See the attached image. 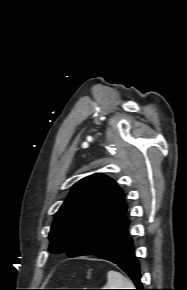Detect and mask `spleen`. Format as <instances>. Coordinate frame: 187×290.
I'll return each instance as SVG.
<instances>
[{
  "mask_svg": "<svg viewBox=\"0 0 187 290\" xmlns=\"http://www.w3.org/2000/svg\"><path fill=\"white\" fill-rule=\"evenodd\" d=\"M133 283L117 271H109L105 289H132Z\"/></svg>",
  "mask_w": 187,
  "mask_h": 290,
  "instance_id": "3e777b00",
  "label": "spleen"
}]
</instances>
